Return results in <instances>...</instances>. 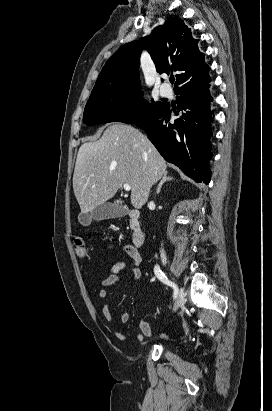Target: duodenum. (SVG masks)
<instances>
[{
    "label": "duodenum",
    "instance_id": "1",
    "mask_svg": "<svg viewBox=\"0 0 272 411\" xmlns=\"http://www.w3.org/2000/svg\"><path fill=\"white\" fill-rule=\"evenodd\" d=\"M131 225V239L135 248L141 247L145 242V232L139 224V212L135 209H130L126 214Z\"/></svg>",
    "mask_w": 272,
    "mask_h": 411
}]
</instances>
